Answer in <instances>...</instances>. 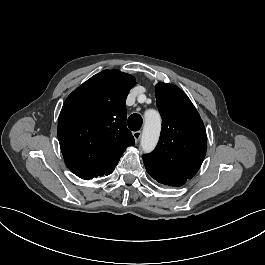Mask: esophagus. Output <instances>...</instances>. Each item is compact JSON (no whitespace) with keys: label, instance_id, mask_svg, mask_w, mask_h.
<instances>
[{"label":"esophagus","instance_id":"34e87169","mask_svg":"<svg viewBox=\"0 0 265 265\" xmlns=\"http://www.w3.org/2000/svg\"><path fill=\"white\" fill-rule=\"evenodd\" d=\"M141 134H142L141 131H134L133 132V136H134L136 142H138L140 140Z\"/></svg>","mask_w":265,"mask_h":265}]
</instances>
